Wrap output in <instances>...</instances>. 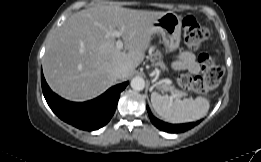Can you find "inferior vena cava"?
Segmentation results:
<instances>
[{
    "label": "inferior vena cava",
    "instance_id": "obj_1",
    "mask_svg": "<svg viewBox=\"0 0 261 162\" xmlns=\"http://www.w3.org/2000/svg\"><path fill=\"white\" fill-rule=\"evenodd\" d=\"M128 68L125 65L117 66L113 70V74L117 78H123L127 75Z\"/></svg>",
    "mask_w": 261,
    "mask_h": 162
}]
</instances>
